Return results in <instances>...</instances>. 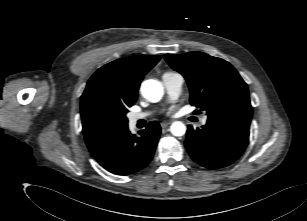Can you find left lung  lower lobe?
Returning <instances> with one entry per match:
<instances>
[{"label": "left lung lower lobe", "mask_w": 307, "mask_h": 221, "mask_svg": "<svg viewBox=\"0 0 307 221\" xmlns=\"http://www.w3.org/2000/svg\"><path fill=\"white\" fill-rule=\"evenodd\" d=\"M250 121L233 118H209L201 129L188 126L185 147L191 158L208 169L234 163L249 142Z\"/></svg>", "instance_id": "obj_1"}]
</instances>
